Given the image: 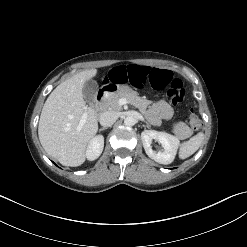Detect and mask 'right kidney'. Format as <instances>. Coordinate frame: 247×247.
Segmentation results:
<instances>
[{
  "mask_svg": "<svg viewBox=\"0 0 247 247\" xmlns=\"http://www.w3.org/2000/svg\"><path fill=\"white\" fill-rule=\"evenodd\" d=\"M103 147H104V137L102 135H98L94 137L91 140L86 150L87 159L90 161L97 159L101 155L103 151Z\"/></svg>",
  "mask_w": 247,
  "mask_h": 247,
  "instance_id": "1",
  "label": "right kidney"
}]
</instances>
